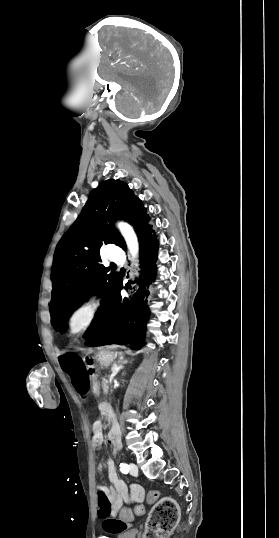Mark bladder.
<instances>
[{
	"label": "bladder",
	"mask_w": 279,
	"mask_h": 538,
	"mask_svg": "<svg viewBox=\"0 0 279 538\" xmlns=\"http://www.w3.org/2000/svg\"><path fill=\"white\" fill-rule=\"evenodd\" d=\"M115 538H138L137 532H117Z\"/></svg>",
	"instance_id": "bladder-1"
}]
</instances>
